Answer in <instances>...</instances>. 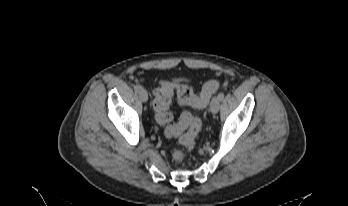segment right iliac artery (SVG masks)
Instances as JSON below:
<instances>
[{
    "label": "right iliac artery",
    "instance_id": "1",
    "mask_svg": "<svg viewBox=\"0 0 348 206\" xmlns=\"http://www.w3.org/2000/svg\"><path fill=\"white\" fill-rule=\"evenodd\" d=\"M141 89H142V88H141L140 85H135V86H134V90H135L136 92H138V93H139V91H140Z\"/></svg>",
    "mask_w": 348,
    "mask_h": 206
}]
</instances>
